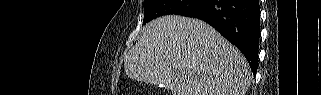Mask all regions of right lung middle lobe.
<instances>
[{"label": "right lung middle lobe", "instance_id": "right-lung-middle-lobe-1", "mask_svg": "<svg viewBox=\"0 0 321 95\" xmlns=\"http://www.w3.org/2000/svg\"><path fill=\"white\" fill-rule=\"evenodd\" d=\"M207 0H144L143 24L163 15L188 16L196 12Z\"/></svg>", "mask_w": 321, "mask_h": 95}]
</instances>
